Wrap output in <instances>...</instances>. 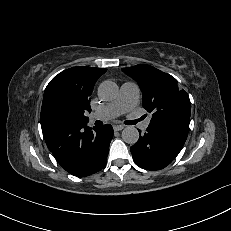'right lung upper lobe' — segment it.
Returning a JSON list of instances; mask_svg holds the SVG:
<instances>
[{
    "label": "right lung upper lobe",
    "mask_w": 231,
    "mask_h": 231,
    "mask_svg": "<svg viewBox=\"0 0 231 231\" xmlns=\"http://www.w3.org/2000/svg\"><path fill=\"white\" fill-rule=\"evenodd\" d=\"M107 69L73 67L56 75L47 85L41 108V127L50 151L69 143L74 129L87 125L89 97L97 79Z\"/></svg>",
    "instance_id": "cb5924a9"
}]
</instances>
